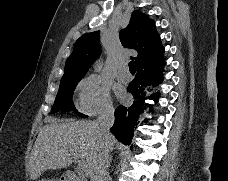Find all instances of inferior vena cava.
<instances>
[{
	"instance_id": "inferior-vena-cava-1",
	"label": "inferior vena cava",
	"mask_w": 228,
	"mask_h": 181,
	"mask_svg": "<svg viewBox=\"0 0 228 181\" xmlns=\"http://www.w3.org/2000/svg\"><path fill=\"white\" fill-rule=\"evenodd\" d=\"M114 121L115 117L112 105H105L103 109H100L98 117L94 123V129H96V133L100 135L103 143L101 147H99L98 151L94 153L91 159V181H106L107 167L109 163L108 159L111 147L107 145L105 139L107 135H111L110 129L112 125H114Z\"/></svg>"
}]
</instances>
